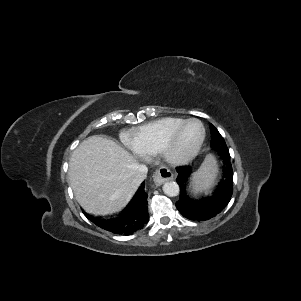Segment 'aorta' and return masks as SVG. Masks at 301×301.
I'll return each instance as SVG.
<instances>
[{"mask_svg":"<svg viewBox=\"0 0 301 301\" xmlns=\"http://www.w3.org/2000/svg\"><path fill=\"white\" fill-rule=\"evenodd\" d=\"M163 192L170 197H175L179 194V185L174 181L165 182Z\"/></svg>","mask_w":301,"mask_h":301,"instance_id":"obj_1","label":"aorta"}]
</instances>
